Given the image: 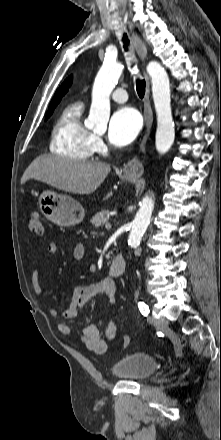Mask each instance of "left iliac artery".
Instances as JSON below:
<instances>
[{
    "label": "left iliac artery",
    "instance_id": "obj_1",
    "mask_svg": "<svg viewBox=\"0 0 221 440\" xmlns=\"http://www.w3.org/2000/svg\"><path fill=\"white\" fill-rule=\"evenodd\" d=\"M138 307L142 315L147 316L150 312L148 305H146L144 302H139Z\"/></svg>",
    "mask_w": 221,
    "mask_h": 440
}]
</instances>
